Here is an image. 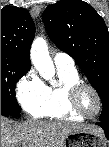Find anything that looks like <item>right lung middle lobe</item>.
Returning <instances> with one entry per match:
<instances>
[{
  "label": "right lung middle lobe",
  "instance_id": "dd1d6c3e",
  "mask_svg": "<svg viewBox=\"0 0 109 147\" xmlns=\"http://www.w3.org/2000/svg\"><path fill=\"white\" fill-rule=\"evenodd\" d=\"M30 68L1 56V110L10 117H20L15 98V84Z\"/></svg>",
  "mask_w": 109,
  "mask_h": 147
}]
</instances>
